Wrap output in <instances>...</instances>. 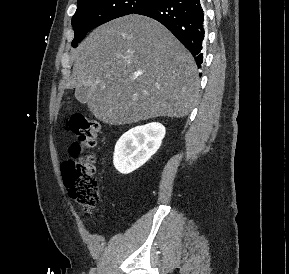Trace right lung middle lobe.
Masks as SVG:
<instances>
[{"label": "right lung middle lobe", "instance_id": "right-lung-middle-lobe-1", "mask_svg": "<svg viewBox=\"0 0 289 274\" xmlns=\"http://www.w3.org/2000/svg\"><path fill=\"white\" fill-rule=\"evenodd\" d=\"M157 0H78L77 10L72 18L75 38L72 46L85 37L91 29L110 20L133 14Z\"/></svg>", "mask_w": 289, "mask_h": 274}]
</instances>
